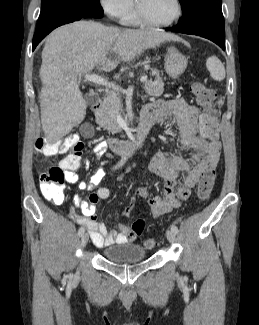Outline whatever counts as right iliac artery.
I'll return each mask as SVG.
<instances>
[{
    "instance_id": "obj_1",
    "label": "right iliac artery",
    "mask_w": 259,
    "mask_h": 325,
    "mask_svg": "<svg viewBox=\"0 0 259 325\" xmlns=\"http://www.w3.org/2000/svg\"><path fill=\"white\" fill-rule=\"evenodd\" d=\"M127 158H128V154L124 155V156L122 157V159L118 162V164H117L114 168H119V167H121V166L125 163V161L127 160ZM84 232H85L84 227H80L79 230H78V235H79V236H82V235L84 234ZM69 277L71 278L72 275L70 274Z\"/></svg>"
}]
</instances>
